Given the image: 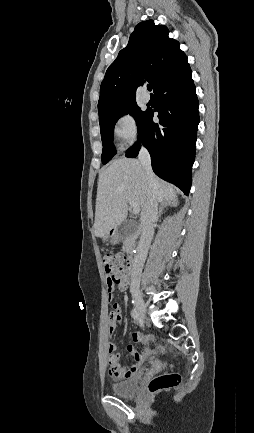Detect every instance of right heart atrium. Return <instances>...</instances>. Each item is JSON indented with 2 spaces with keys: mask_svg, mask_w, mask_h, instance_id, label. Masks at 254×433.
I'll return each instance as SVG.
<instances>
[{
  "mask_svg": "<svg viewBox=\"0 0 254 433\" xmlns=\"http://www.w3.org/2000/svg\"><path fill=\"white\" fill-rule=\"evenodd\" d=\"M113 135L121 149L130 148L139 135L138 123L130 113L119 115L114 123Z\"/></svg>",
  "mask_w": 254,
  "mask_h": 433,
  "instance_id": "obj_1",
  "label": "right heart atrium"
}]
</instances>
